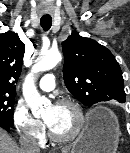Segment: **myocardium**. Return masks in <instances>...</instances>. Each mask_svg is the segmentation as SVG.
<instances>
[{
    "label": "myocardium",
    "instance_id": "f54148a6",
    "mask_svg": "<svg viewBox=\"0 0 130 153\" xmlns=\"http://www.w3.org/2000/svg\"><path fill=\"white\" fill-rule=\"evenodd\" d=\"M57 105L69 106L74 110L76 114V118H77L76 125L74 129L71 131V133H69L68 135H58L47 124L48 134L50 138L57 143L72 142L80 135V133L82 132L85 126L86 118H85V113L83 111V108L77 101L70 99V98H64V99L59 100Z\"/></svg>",
    "mask_w": 130,
    "mask_h": 153
}]
</instances>
